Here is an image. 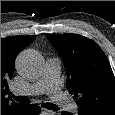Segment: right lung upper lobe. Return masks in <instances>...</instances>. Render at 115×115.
I'll use <instances>...</instances> for the list:
<instances>
[{
  "instance_id": "obj_1",
  "label": "right lung upper lobe",
  "mask_w": 115,
  "mask_h": 115,
  "mask_svg": "<svg viewBox=\"0 0 115 115\" xmlns=\"http://www.w3.org/2000/svg\"><path fill=\"white\" fill-rule=\"evenodd\" d=\"M35 38L36 35L11 36L1 39V115L18 110L23 105L11 102L10 97H7L10 93L9 80L13 75L16 56Z\"/></svg>"
}]
</instances>
